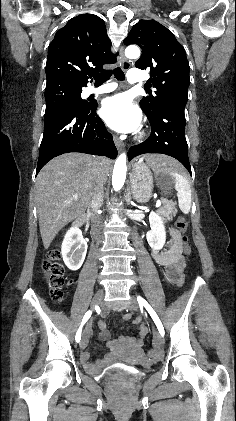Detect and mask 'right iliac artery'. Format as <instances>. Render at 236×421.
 Wrapping results in <instances>:
<instances>
[{"label":"right iliac artery","instance_id":"right-iliac-artery-1","mask_svg":"<svg viewBox=\"0 0 236 421\" xmlns=\"http://www.w3.org/2000/svg\"><path fill=\"white\" fill-rule=\"evenodd\" d=\"M91 314H92V312L90 310L85 313V315H84V317L82 319L81 325H80V327H79V329H78V331L76 333V336H75L76 342H80V340H81L82 327L86 323V321L90 318Z\"/></svg>","mask_w":236,"mask_h":421}]
</instances>
